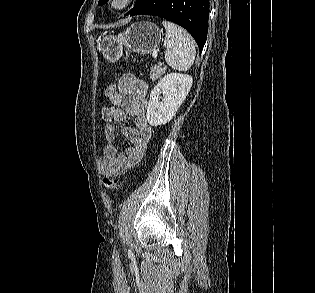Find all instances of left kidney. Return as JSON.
Instances as JSON below:
<instances>
[{"label":"left kidney","instance_id":"5707ae66","mask_svg":"<svg viewBox=\"0 0 315 293\" xmlns=\"http://www.w3.org/2000/svg\"><path fill=\"white\" fill-rule=\"evenodd\" d=\"M193 79L190 75L169 73L154 87L147 106V120L151 126L168 123L186 99ZM164 98L160 101V95Z\"/></svg>","mask_w":315,"mask_h":293}]
</instances>
